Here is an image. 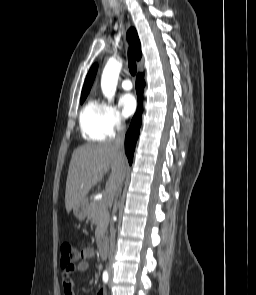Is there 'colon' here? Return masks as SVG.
Masks as SVG:
<instances>
[{"label": "colon", "mask_w": 256, "mask_h": 295, "mask_svg": "<svg viewBox=\"0 0 256 295\" xmlns=\"http://www.w3.org/2000/svg\"><path fill=\"white\" fill-rule=\"evenodd\" d=\"M61 266L66 270H74L80 260L78 252L71 244L65 243L61 245Z\"/></svg>", "instance_id": "colon-1"}]
</instances>
